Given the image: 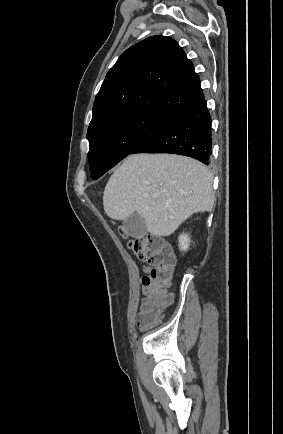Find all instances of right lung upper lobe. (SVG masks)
I'll return each mask as SVG.
<instances>
[{
  "mask_svg": "<svg viewBox=\"0 0 283 434\" xmlns=\"http://www.w3.org/2000/svg\"><path fill=\"white\" fill-rule=\"evenodd\" d=\"M203 99L200 79L183 49L170 37L152 36L127 49L109 70L89 128L135 112L171 119Z\"/></svg>",
  "mask_w": 283,
  "mask_h": 434,
  "instance_id": "right-lung-upper-lobe-1",
  "label": "right lung upper lobe"
}]
</instances>
